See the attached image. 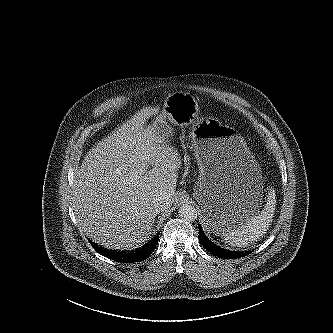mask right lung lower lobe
Segmentation results:
<instances>
[{
	"label": "right lung lower lobe",
	"instance_id": "1",
	"mask_svg": "<svg viewBox=\"0 0 333 333\" xmlns=\"http://www.w3.org/2000/svg\"><path fill=\"white\" fill-rule=\"evenodd\" d=\"M158 240H159V234H156V236L153 239H151L148 243H146L143 247L135 251H132L130 253H122V252L108 250L93 242H91V245L99 254L105 257L113 259L117 262L128 263V262H138L148 258L154 251L158 243Z\"/></svg>",
	"mask_w": 333,
	"mask_h": 333
}]
</instances>
